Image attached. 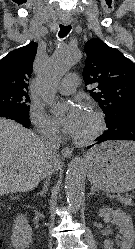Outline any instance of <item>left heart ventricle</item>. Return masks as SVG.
<instances>
[{"instance_id": "b2bd125f", "label": "left heart ventricle", "mask_w": 135, "mask_h": 249, "mask_svg": "<svg viewBox=\"0 0 135 249\" xmlns=\"http://www.w3.org/2000/svg\"><path fill=\"white\" fill-rule=\"evenodd\" d=\"M95 127V120L93 115L87 110L85 113V118L83 120V123L79 129V131L77 132V134L75 135L78 138H83L85 136H87L88 134H90L92 132V130Z\"/></svg>"}]
</instances>
